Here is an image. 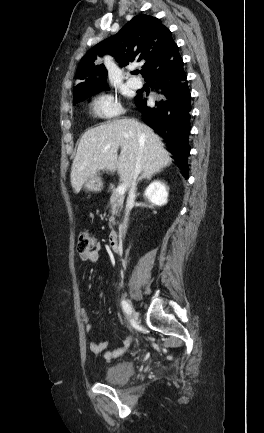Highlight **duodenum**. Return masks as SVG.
<instances>
[{"mask_svg":"<svg viewBox=\"0 0 264 433\" xmlns=\"http://www.w3.org/2000/svg\"><path fill=\"white\" fill-rule=\"evenodd\" d=\"M120 235L121 232L119 230H112L108 235V242L112 249L117 250L120 244Z\"/></svg>","mask_w":264,"mask_h":433,"instance_id":"1","label":"duodenum"}]
</instances>
